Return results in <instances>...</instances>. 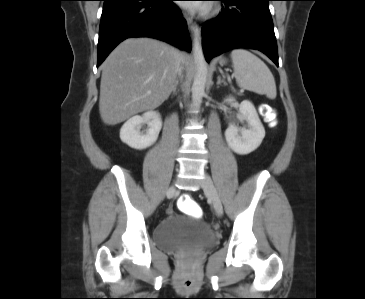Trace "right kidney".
<instances>
[{
    "label": "right kidney",
    "instance_id": "right-kidney-1",
    "mask_svg": "<svg viewBox=\"0 0 365 299\" xmlns=\"http://www.w3.org/2000/svg\"><path fill=\"white\" fill-rule=\"evenodd\" d=\"M143 123H148L149 126L145 134L139 130V126ZM161 128L160 115L155 111H148L125 122L120 130V139L131 148L142 150L156 142Z\"/></svg>",
    "mask_w": 365,
    "mask_h": 299
}]
</instances>
